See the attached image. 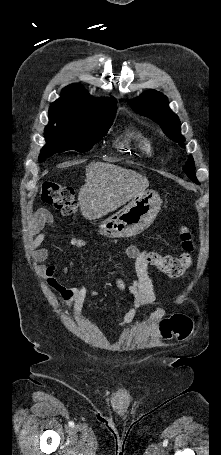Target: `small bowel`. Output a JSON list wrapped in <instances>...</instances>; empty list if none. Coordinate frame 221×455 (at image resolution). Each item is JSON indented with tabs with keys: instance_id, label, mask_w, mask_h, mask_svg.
<instances>
[{
	"instance_id": "obj_1",
	"label": "small bowel",
	"mask_w": 221,
	"mask_h": 455,
	"mask_svg": "<svg viewBox=\"0 0 221 455\" xmlns=\"http://www.w3.org/2000/svg\"><path fill=\"white\" fill-rule=\"evenodd\" d=\"M53 222L51 214L42 209L38 211L31 223V235L33 236L32 247L33 254L37 261H45L51 255V250L47 247H40L41 243L47 236L44 228ZM70 244L75 247H86L85 241L80 238L72 237ZM126 258L134 261L135 275L130 284L126 285L122 280L117 281L118 287L125 293L129 294L132 299V307L127 311L121 321L117 323L118 328H122L131 323L139 308L152 304L155 301V292L148 275L147 251L141 250L137 246L131 245L123 250ZM66 271L65 267L55 264L48 265L44 269L47 284L54 289L61 297L65 307L73 308L75 313L84 316V301L90 295L98 296V292L90 288L87 283L79 285L65 286L61 284L57 275ZM166 311L163 308H157L147 319V324L151 325L160 321Z\"/></svg>"
}]
</instances>
